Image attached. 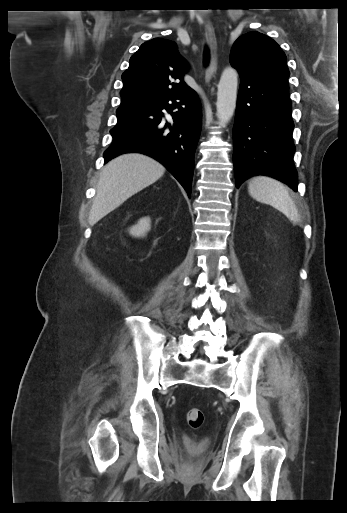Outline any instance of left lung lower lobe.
Listing matches in <instances>:
<instances>
[{
	"instance_id": "0a47b994",
	"label": "left lung lower lobe",
	"mask_w": 347,
	"mask_h": 513,
	"mask_svg": "<svg viewBox=\"0 0 347 513\" xmlns=\"http://www.w3.org/2000/svg\"><path fill=\"white\" fill-rule=\"evenodd\" d=\"M233 127L236 186L267 175L297 191L295 146L287 79L241 76Z\"/></svg>"
}]
</instances>
